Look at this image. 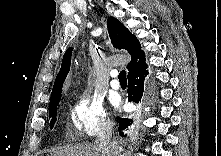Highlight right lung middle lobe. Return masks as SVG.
Here are the masks:
<instances>
[{
	"label": "right lung middle lobe",
	"instance_id": "obj_1",
	"mask_svg": "<svg viewBox=\"0 0 221 156\" xmlns=\"http://www.w3.org/2000/svg\"><path fill=\"white\" fill-rule=\"evenodd\" d=\"M59 100H57L55 103L50 105L49 117L52 118V120L50 122V127L51 128L53 127V125H54V123L56 121L57 105L59 103Z\"/></svg>",
	"mask_w": 221,
	"mask_h": 156
}]
</instances>
